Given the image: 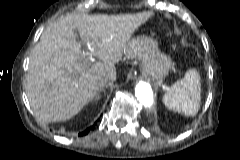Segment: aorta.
<instances>
[{
	"label": "aorta",
	"mask_w": 240,
	"mask_h": 160,
	"mask_svg": "<svg viewBox=\"0 0 240 160\" xmlns=\"http://www.w3.org/2000/svg\"><path fill=\"white\" fill-rule=\"evenodd\" d=\"M135 95L144 108L151 109L154 103V95L149 83L139 82L135 87Z\"/></svg>",
	"instance_id": "obj_1"
}]
</instances>
